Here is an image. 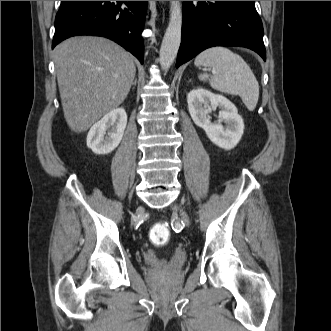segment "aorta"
<instances>
[{
  "label": "aorta",
  "mask_w": 331,
  "mask_h": 331,
  "mask_svg": "<svg viewBox=\"0 0 331 331\" xmlns=\"http://www.w3.org/2000/svg\"><path fill=\"white\" fill-rule=\"evenodd\" d=\"M170 3V20L159 53L160 65L163 70H168L173 64L181 43V2L171 1Z\"/></svg>",
  "instance_id": "obj_1"
}]
</instances>
